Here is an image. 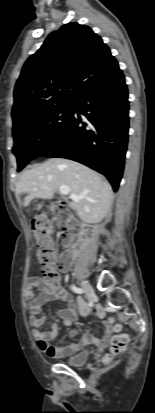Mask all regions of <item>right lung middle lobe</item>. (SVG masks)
Segmentation results:
<instances>
[{
	"instance_id": "obj_1",
	"label": "right lung middle lobe",
	"mask_w": 155,
	"mask_h": 413,
	"mask_svg": "<svg viewBox=\"0 0 155 413\" xmlns=\"http://www.w3.org/2000/svg\"><path fill=\"white\" fill-rule=\"evenodd\" d=\"M73 114V103L60 105L13 126V153L18 169L40 156L63 132Z\"/></svg>"
}]
</instances>
